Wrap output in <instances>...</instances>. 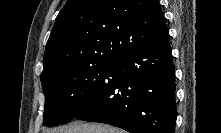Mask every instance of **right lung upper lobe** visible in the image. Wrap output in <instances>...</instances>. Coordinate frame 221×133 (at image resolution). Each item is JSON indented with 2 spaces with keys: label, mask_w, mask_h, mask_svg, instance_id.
<instances>
[{
  "label": "right lung upper lobe",
  "mask_w": 221,
  "mask_h": 133,
  "mask_svg": "<svg viewBox=\"0 0 221 133\" xmlns=\"http://www.w3.org/2000/svg\"><path fill=\"white\" fill-rule=\"evenodd\" d=\"M168 38L158 0H68L47 41L41 76L62 66L112 63Z\"/></svg>",
  "instance_id": "cb5924a9"
}]
</instances>
